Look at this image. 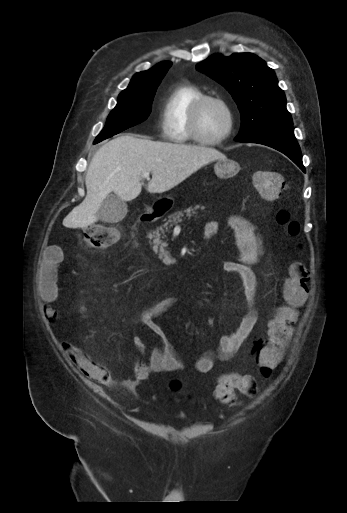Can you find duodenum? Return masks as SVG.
I'll return each mask as SVG.
<instances>
[{
    "instance_id": "1",
    "label": "duodenum",
    "mask_w": 347,
    "mask_h": 513,
    "mask_svg": "<svg viewBox=\"0 0 347 513\" xmlns=\"http://www.w3.org/2000/svg\"><path fill=\"white\" fill-rule=\"evenodd\" d=\"M167 206L162 202H155L152 207L139 218V225H147L165 213Z\"/></svg>"
}]
</instances>
